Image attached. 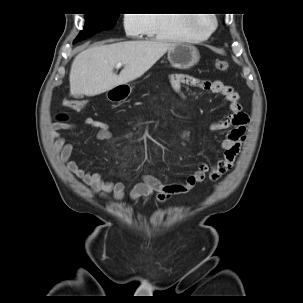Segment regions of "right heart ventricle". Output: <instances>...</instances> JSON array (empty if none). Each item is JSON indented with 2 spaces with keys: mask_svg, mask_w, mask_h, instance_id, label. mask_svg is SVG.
<instances>
[{
  "mask_svg": "<svg viewBox=\"0 0 303 303\" xmlns=\"http://www.w3.org/2000/svg\"><path fill=\"white\" fill-rule=\"evenodd\" d=\"M145 34L165 40L193 39L189 16L186 14H148Z\"/></svg>",
  "mask_w": 303,
  "mask_h": 303,
  "instance_id": "1",
  "label": "right heart ventricle"
}]
</instances>
